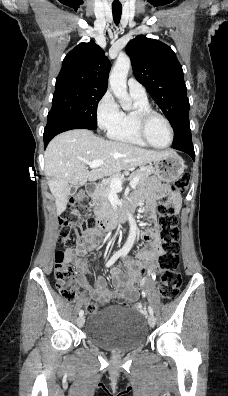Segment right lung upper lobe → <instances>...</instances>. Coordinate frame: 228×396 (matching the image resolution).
<instances>
[{
  "mask_svg": "<svg viewBox=\"0 0 228 396\" xmlns=\"http://www.w3.org/2000/svg\"><path fill=\"white\" fill-rule=\"evenodd\" d=\"M110 68V61L94 41L80 43L64 58L56 87L73 85L106 91Z\"/></svg>",
  "mask_w": 228,
  "mask_h": 396,
  "instance_id": "1",
  "label": "right lung upper lobe"
}]
</instances>
